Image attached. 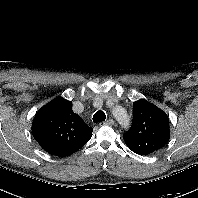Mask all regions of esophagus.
I'll return each mask as SVG.
<instances>
[{
	"label": "esophagus",
	"instance_id": "obj_1",
	"mask_svg": "<svg viewBox=\"0 0 198 198\" xmlns=\"http://www.w3.org/2000/svg\"><path fill=\"white\" fill-rule=\"evenodd\" d=\"M114 124V120L112 118H109L108 120H106L105 122H100V126L103 125H108V126H112Z\"/></svg>",
	"mask_w": 198,
	"mask_h": 198
}]
</instances>
